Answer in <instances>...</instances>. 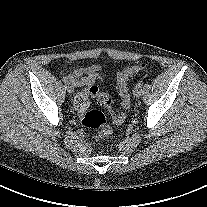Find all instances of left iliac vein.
<instances>
[{"label":"left iliac vein","instance_id":"obj_1","mask_svg":"<svg viewBox=\"0 0 207 207\" xmlns=\"http://www.w3.org/2000/svg\"><path fill=\"white\" fill-rule=\"evenodd\" d=\"M133 95L139 97L141 95V86L136 85L133 89Z\"/></svg>","mask_w":207,"mask_h":207}]
</instances>
